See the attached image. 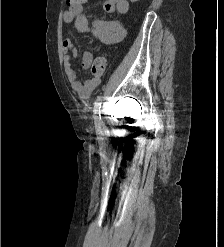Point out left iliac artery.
Listing matches in <instances>:
<instances>
[{
    "instance_id": "obj_1",
    "label": "left iliac artery",
    "mask_w": 224,
    "mask_h": 247,
    "mask_svg": "<svg viewBox=\"0 0 224 247\" xmlns=\"http://www.w3.org/2000/svg\"><path fill=\"white\" fill-rule=\"evenodd\" d=\"M102 99L103 97L100 95L96 98V101L94 103V121H95V129L97 132L102 131V119H101V105H102Z\"/></svg>"
}]
</instances>
